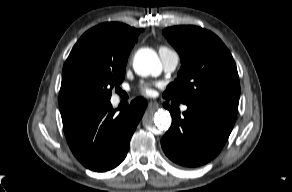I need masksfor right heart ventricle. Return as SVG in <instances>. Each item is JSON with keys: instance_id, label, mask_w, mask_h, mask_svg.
<instances>
[{"instance_id": "obj_1", "label": "right heart ventricle", "mask_w": 292, "mask_h": 192, "mask_svg": "<svg viewBox=\"0 0 292 192\" xmlns=\"http://www.w3.org/2000/svg\"><path fill=\"white\" fill-rule=\"evenodd\" d=\"M165 49H168V48H166V47H160L159 51L165 50Z\"/></svg>"}]
</instances>
